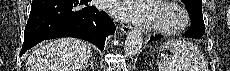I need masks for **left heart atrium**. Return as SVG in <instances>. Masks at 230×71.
<instances>
[{"mask_svg":"<svg viewBox=\"0 0 230 71\" xmlns=\"http://www.w3.org/2000/svg\"><path fill=\"white\" fill-rule=\"evenodd\" d=\"M104 3L110 12L134 23L151 22L155 17L151 0H104Z\"/></svg>","mask_w":230,"mask_h":71,"instance_id":"1","label":"left heart atrium"}]
</instances>
